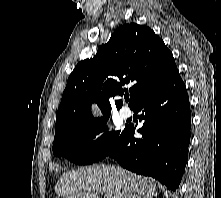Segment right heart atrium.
I'll return each instance as SVG.
<instances>
[{
  "instance_id": "right-heart-atrium-1",
  "label": "right heart atrium",
  "mask_w": 221,
  "mask_h": 198,
  "mask_svg": "<svg viewBox=\"0 0 221 198\" xmlns=\"http://www.w3.org/2000/svg\"><path fill=\"white\" fill-rule=\"evenodd\" d=\"M106 138V131L101 126H93L86 135V142L91 148L100 147Z\"/></svg>"
}]
</instances>
